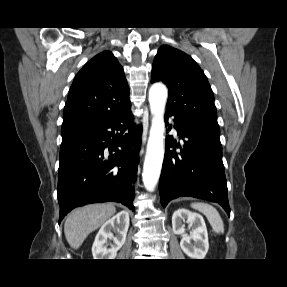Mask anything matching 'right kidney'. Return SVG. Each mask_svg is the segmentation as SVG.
Segmentation results:
<instances>
[{
	"instance_id": "right-kidney-1",
	"label": "right kidney",
	"mask_w": 287,
	"mask_h": 287,
	"mask_svg": "<svg viewBox=\"0 0 287 287\" xmlns=\"http://www.w3.org/2000/svg\"><path fill=\"white\" fill-rule=\"evenodd\" d=\"M128 228L127 211H121L106 221L96 235L92 246L94 259H115L117 251L125 243Z\"/></svg>"
}]
</instances>
